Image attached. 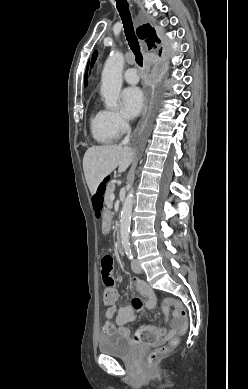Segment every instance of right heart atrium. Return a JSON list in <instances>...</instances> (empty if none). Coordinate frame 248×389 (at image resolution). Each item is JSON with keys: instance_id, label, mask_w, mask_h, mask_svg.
<instances>
[{"instance_id": "obj_1", "label": "right heart atrium", "mask_w": 248, "mask_h": 389, "mask_svg": "<svg viewBox=\"0 0 248 389\" xmlns=\"http://www.w3.org/2000/svg\"><path fill=\"white\" fill-rule=\"evenodd\" d=\"M110 126L116 135H119L126 131L129 127L127 118L116 110L107 111Z\"/></svg>"}]
</instances>
